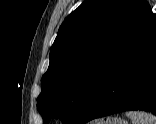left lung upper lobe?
Masks as SVG:
<instances>
[{
    "mask_svg": "<svg viewBox=\"0 0 156 124\" xmlns=\"http://www.w3.org/2000/svg\"><path fill=\"white\" fill-rule=\"evenodd\" d=\"M145 0H85L62 23L50 50L37 109L44 124H79L116 61L154 21Z\"/></svg>",
    "mask_w": 156,
    "mask_h": 124,
    "instance_id": "5c2ea615",
    "label": "left lung upper lobe"
}]
</instances>
